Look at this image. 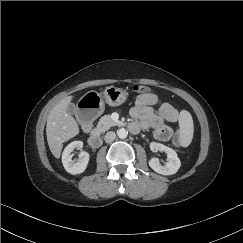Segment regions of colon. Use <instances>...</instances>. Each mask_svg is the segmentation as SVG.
<instances>
[{
    "instance_id": "1",
    "label": "colon",
    "mask_w": 243,
    "mask_h": 243,
    "mask_svg": "<svg viewBox=\"0 0 243 243\" xmlns=\"http://www.w3.org/2000/svg\"><path fill=\"white\" fill-rule=\"evenodd\" d=\"M133 91L136 92V93H140V94H151L152 93V90L148 86H144V85H135L133 87ZM174 143L175 144L179 143V137L178 136H175Z\"/></svg>"
}]
</instances>
